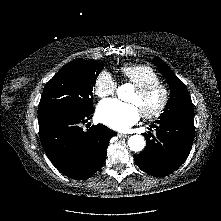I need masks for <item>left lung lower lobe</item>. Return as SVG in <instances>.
Wrapping results in <instances>:
<instances>
[{
    "label": "left lung lower lobe",
    "instance_id": "1",
    "mask_svg": "<svg viewBox=\"0 0 221 221\" xmlns=\"http://www.w3.org/2000/svg\"><path fill=\"white\" fill-rule=\"evenodd\" d=\"M194 119H164L156 127V135L146 133L145 149L135 157L136 164L146 173L163 177L178 169L186 160L194 139Z\"/></svg>",
    "mask_w": 221,
    "mask_h": 221
}]
</instances>
